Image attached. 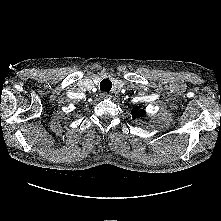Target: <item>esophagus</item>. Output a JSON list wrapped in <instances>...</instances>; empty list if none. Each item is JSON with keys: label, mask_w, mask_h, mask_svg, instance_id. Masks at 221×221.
<instances>
[{"label": "esophagus", "mask_w": 221, "mask_h": 221, "mask_svg": "<svg viewBox=\"0 0 221 221\" xmlns=\"http://www.w3.org/2000/svg\"><path fill=\"white\" fill-rule=\"evenodd\" d=\"M102 98L110 99L112 96L106 92L101 93Z\"/></svg>", "instance_id": "obj_1"}]
</instances>
